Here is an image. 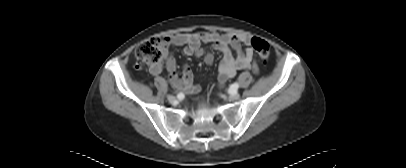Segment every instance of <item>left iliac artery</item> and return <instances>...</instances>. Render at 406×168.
<instances>
[{
	"instance_id": "left-iliac-artery-1",
	"label": "left iliac artery",
	"mask_w": 406,
	"mask_h": 168,
	"mask_svg": "<svg viewBox=\"0 0 406 168\" xmlns=\"http://www.w3.org/2000/svg\"><path fill=\"white\" fill-rule=\"evenodd\" d=\"M239 88V84L238 83H234L230 86L229 92L233 93L235 92L237 89Z\"/></svg>"
}]
</instances>
